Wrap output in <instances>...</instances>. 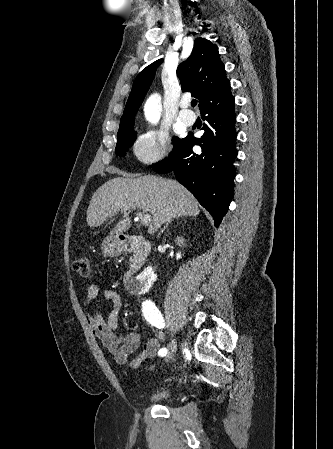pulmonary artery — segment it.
<instances>
[{
  "label": "pulmonary artery",
  "mask_w": 333,
  "mask_h": 449,
  "mask_svg": "<svg viewBox=\"0 0 333 449\" xmlns=\"http://www.w3.org/2000/svg\"><path fill=\"white\" fill-rule=\"evenodd\" d=\"M181 110L179 112V119L187 126H191L195 122V115L187 109V103L181 102Z\"/></svg>",
  "instance_id": "e3ab8cb5"
}]
</instances>
